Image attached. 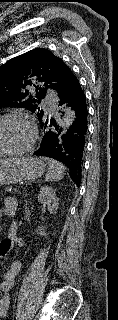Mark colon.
Instances as JSON below:
<instances>
[{"label": "colon", "mask_w": 118, "mask_h": 320, "mask_svg": "<svg viewBox=\"0 0 118 320\" xmlns=\"http://www.w3.org/2000/svg\"><path fill=\"white\" fill-rule=\"evenodd\" d=\"M13 243H19L18 238L15 236L14 232L9 237H5L0 243V257L6 255L8 250L11 248Z\"/></svg>", "instance_id": "colon-1"}]
</instances>
